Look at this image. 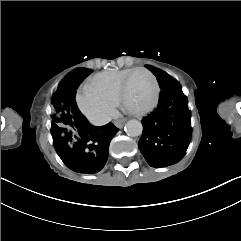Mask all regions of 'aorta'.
Here are the masks:
<instances>
[{
    "label": "aorta",
    "instance_id": "aorta-1",
    "mask_svg": "<svg viewBox=\"0 0 241 241\" xmlns=\"http://www.w3.org/2000/svg\"><path fill=\"white\" fill-rule=\"evenodd\" d=\"M124 130L128 136L136 137L142 134L143 126L140 121L133 119L126 123Z\"/></svg>",
    "mask_w": 241,
    "mask_h": 241
}]
</instances>
